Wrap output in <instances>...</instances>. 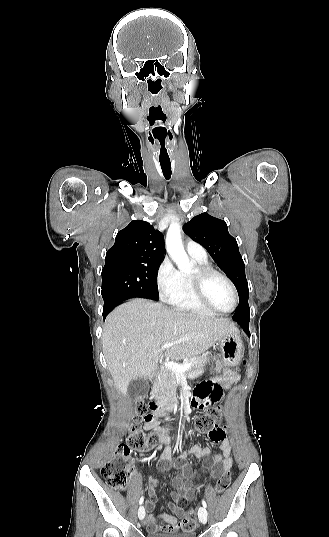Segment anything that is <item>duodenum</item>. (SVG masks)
Instances as JSON below:
<instances>
[{
  "label": "duodenum",
  "mask_w": 329,
  "mask_h": 537,
  "mask_svg": "<svg viewBox=\"0 0 329 537\" xmlns=\"http://www.w3.org/2000/svg\"><path fill=\"white\" fill-rule=\"evenodd\" d=\"M176 407V403L168 402L160 398H154L150 403V411L156 418L169 415Z\"/></svg>",
  "instance_id": "1"
}]
</instances>
